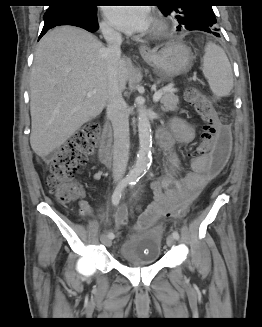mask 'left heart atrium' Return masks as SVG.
I'll use <instances>...</instances> for the list:
<instances>
[{"label":"left heart atrium","instance_id":"1","mask_svg":"<svg viewBox=\"0 0 262 327\" xmlns=\"http://www.w3.org/2000/svg\"><path fill=\"white\" fill-rule=\"evenodd\" d=\"M110 22L124 32H141L151 24L149 9L143 5H115L106 8Z\"/></svg>","mask_w":262,"mask_h":327}]
</instances>
